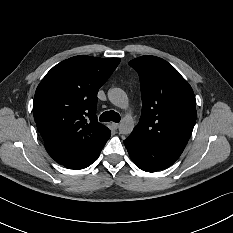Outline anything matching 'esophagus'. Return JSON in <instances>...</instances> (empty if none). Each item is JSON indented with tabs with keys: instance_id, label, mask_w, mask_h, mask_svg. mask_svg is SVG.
<instances>
[{
	"instance_id": "34e87169",
	"label": "esophagus",
	"mask_w": 233,
	"mask_h": 233,
	"mask_svg": "<svg viewBox=\"0 0 233 233\" xmlns=\"http://www.w3.org/2000/svg\"><path fill=\"white\" fill-rule=\"evenodd\" d=\"M112 125V127L115 129V130H117L118 128H119V123H112L111 124Z\"/></svg>"
}]
</instances>
